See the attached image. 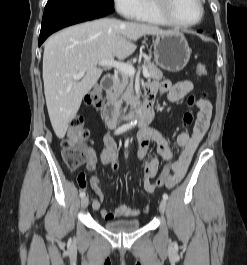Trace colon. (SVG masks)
Here are the masks:
<instances>
[{
  "mask_svg": "<svg viewBox=\"0 0 247 265\" xmlns=\"http://www.w3.org/2000/svg\"><path fill=\"white\" fill-rule=\"evenodd\" d=\"M196 73L199 77L207 75V69L203 64H198ZM206 95L204 94L203 97ZM87 106L98 108L103 102V92L100 86L94 87L84 99ZM189 110L183 115L182 121L184 125H188L193 120V112L191 106ZM89 138V132L84 126L83 118L80 116L74 117L69 124V129L62 141V156L67 167L75 170L80 167L87 159V146L86 142ZM166 164L161 171L159 177L155 181V187L160 188L172 176L174 158L165 161Z\"/></svg>",
  "mask_w": 247,
  "mask_h": 265,
  "instance_id": "obj_1",
  "label": "colon"
}]
</instances>
